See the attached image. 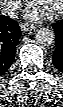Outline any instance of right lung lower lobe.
Returning a JSON list of instances; mask_svg holds the SVG:
<instances>
[{
  "label": "right lung lower lobe",
  "instance_id": "98d812e1",
  "mask_svg": "<svg viewBox=\"0 0 63 107\" xmlns=\"http://www.w3.org/2000/svg\"><path fill=\"white\" fill-rule=\"evenodd\" d=\"M20 35L17 22L0 15V76L9 69L14 61Z\"/></svg>",
  "mask_w": 63,
  "mask_h": 107
}]
</instances>
